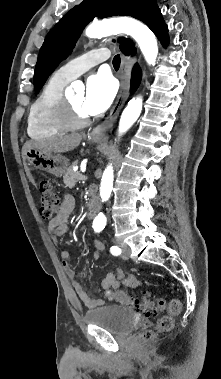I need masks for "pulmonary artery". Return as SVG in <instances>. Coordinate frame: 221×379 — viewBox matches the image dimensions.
<instances>
[{"label": "pulmonary artery", "mask_w": 221, "mask_h": 379, "mask_svg": "<svg viewBox=\"0 0 221 379\" xmlns=\"http://www.w3.org/2000/svg\"><path fill=\"white\" fill-rule=\"evenodd\" d=\"M108 57L109 51L107 49H94L61 66L56 74L67 81H71L93 66L107 60Z\"/></svg>", "instance_id": "e3ab8cb5"}]
</instances>
